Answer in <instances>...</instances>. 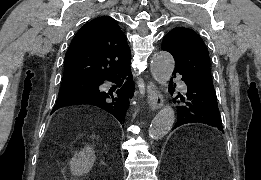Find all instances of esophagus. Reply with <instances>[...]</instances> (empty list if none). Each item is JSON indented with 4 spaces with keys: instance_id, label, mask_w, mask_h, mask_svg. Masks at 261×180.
Segmentation results:
<instances>
[{
    "instance_id": "esophagus-1",
    "label": "esophagus",
    "mask_w": 261,
    "mask_h": 180,
    "mask_svg": "<svg viewBox=\"0 0 261 180\" xmlns=\"http://www.w3.org/2000/svg\"><path fill=\"white\" fill-rule=\"evenodd\" d=\"M147 102L153 110L163 106V96L159 87L154 82H148L146 85Z\"/></svg>"
}]
</instances>
